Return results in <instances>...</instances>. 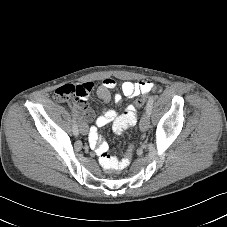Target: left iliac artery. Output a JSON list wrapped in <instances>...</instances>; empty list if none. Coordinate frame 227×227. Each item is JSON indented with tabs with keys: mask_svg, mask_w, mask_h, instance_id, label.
Returning a JSON list of instances; mask_svg holds the SVG:
<instances>
[{
	"mask_svg": "<svg viewBox=\"0 0 227 227\" xmlns=\"http://www.w3.org/2000/svg\"><path fill=\"white\" fill-rule=\"evenodd\" d=\"M153 102H154V96H151L147 102L146 105V112L150 115L152 112V107H153Z\"/></svg>",
	"mask_w": 227,
	"mask_h": 227,
	"instance_id": "obj_1",
	"label": "left iliac artery"
}]
</instances>
